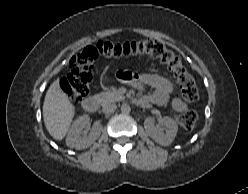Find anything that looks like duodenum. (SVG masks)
Returning a JSON list of instances; mask_svg holds the SVG:
<instances>
[{
  "mask_svg": "<svg viewBox=\"0 0 248 194\" xmlns=\"http://www.w3.org/2000/svg\"><path fill=\"white\" fill-rule=\"evenodd\" d=\"M140 103V102H139ZM98 107V98L95 96H89L84 99L83 101V108L90 112L93 113L97 110Z\"/></svg>",
  "mask_w": 248,
  "mask_h": 194,
  "instance_id": "410a0bca",
  "label": "duodenum"
}]
</instances>
